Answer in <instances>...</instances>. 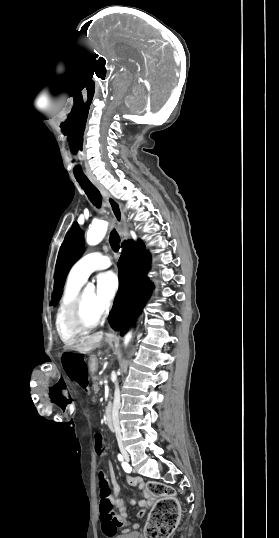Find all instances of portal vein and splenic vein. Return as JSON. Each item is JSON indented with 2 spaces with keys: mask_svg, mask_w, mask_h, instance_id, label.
<instances>
[{
  "mask_svg": "<svg viewBox=\"0 0 279 538\" xmlns=\"http://www.w3.org/2000/svg\"><path fill=\"white\" fill-rule=\"evenodd\" d=\"M100 385H104L105 380H99Z\"/></svg>",
  "mask_w": 279,
  "mask_h": 538,
  "instance_id": "1",
  "label": "portal vein and splenic vein"
}]
</instances>
